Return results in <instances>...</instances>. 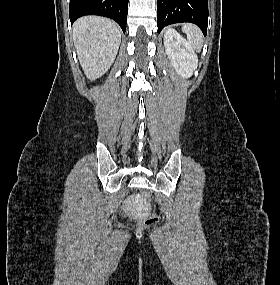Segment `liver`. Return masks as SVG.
Listing matches in <instances>:
<instances>
[{"label": "liver", "mask_w": 280, "mask_h": 285, "mask_svg": "<svg viewBox=\"0 0 280 285\" xmlns=\"http://www.w3.org/2000/svg\"><path fill=\"white\" fill-rule=\"evenodd\" d=\"M74 44L82 69L96 80L111 67L121 43V30L114 22L86 16L73 24Z\"/></svg>", "instance_id": "1"}]
</instances>
